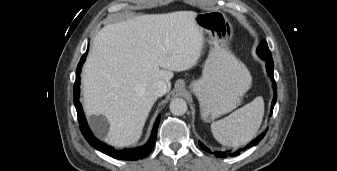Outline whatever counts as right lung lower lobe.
<instances>
[{
	"label": "right lung lower lobe",
	"instance_id": "1",
	"mask_svg": "<svg viewBox=\"0 0 337 171\" xmlns=\"http://www.w3.org/2000/svg\"><path fill=\"white\" fill-rule=\"evenodd\" d=\"M87 52L82 56L78 66H77V72H76V80L74 83V104L77 110V115H78V121H79V125H80V129L81 132L83 134V136L85 137V139L89 142L90 145H92L94 148H96L97 150L103 152L104 154L113 157L115 159H122V160H138V159H142L144 157H146L151 150L153 149L154 145H155V141H156V137H157V130H158V125H159V120L160 117L157 118L153 130H152V134L151 137L149 139V141L141 147L138 148H133V149H124V150H116L111 146H108L102 142H100L99 140H97L87 122L86 119L84 117V113L81 107V104L78 100L79 96V86H80V72H81V67L85 61Z\"/></svg>",
	"mask_w": 337,
	"mask_h": 171
}]
</instances>
